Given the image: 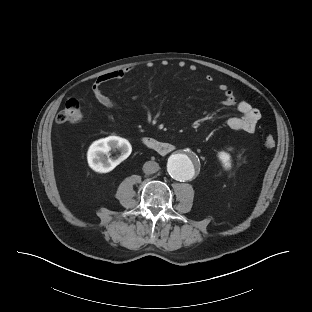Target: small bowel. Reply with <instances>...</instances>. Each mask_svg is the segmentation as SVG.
Listing matches in <instances>:
<instances>
[{
	"label": "small bowel",
	"mask_w": 312,
	"mask_h": 312,
	"mask_svg": "<svg viewBox=\"0 0 312 312\" xmlns=\"http://www.w3.org/2000/svg\"><path fill=\"white\" fill-rule=\"evenodd\" d=\"M150 66H152V64H150ZM133 70V66H128L98 76L92 85V92L95 99L105 108L117 110L119 108L118 103L103 91L102 86L107 82L124 78ZM207 79L211 80L212 77L207 76ZM218 89L223 94L222 104L226 107H236L241 114L240 116L228 118L226 121L227 126L232 130L253 133L261 118L259 110L247 101H238L232 90L225 84L219 85Z\"/></svg>",
	"instance_id": "obj_1"
}]
</instances>
